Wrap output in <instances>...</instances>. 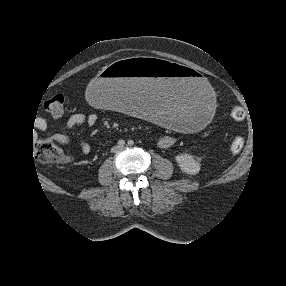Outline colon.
I'll list each match as a JSON object with an SVG mask.
<instances>
[{
  "label": "colon",
  "instance_id": "1",
  "mask_svg": "<svg viewBox=\"0 0 286 286\" xmlns=\"http://www.w3.org/2000/svg\"><path fill=\"white\" fill-rule=\"evenodd\" d=\"M65 98L58 94L45 102V109L54 116H59L63 113ZM230 116L234 121L244 120L246 114L243 108L239 106L232 107ZM244 146L242 137H235L230 143V150L233 153H239ZM36 154L44 161L57 163L63 160L64 155L62 150L50 139L39 140L36 144Z\"/></svg>",
  "mask_w": 286,
  "mask_h": 286
}]
</instances>
